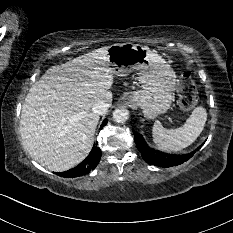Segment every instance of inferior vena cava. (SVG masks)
I'll use <instances>...</instances> for the list:
<instances>
[{"mask_svg": "<svg viewBox=\"0 0 233 233\" xmlns=\"http://www.w3.org/2000/svg\"><path fill=\"white\" fill-rule=\"evenodd\" d=\"M109 108V104L104 102V101H100L98 103H96L93 107H92V111L95 114L98 115H103L108 111Z\"/></svg>", "mask_w": 233, "mask_h": 233, "instance_id": "602c4592", "label": "inferior vena cava"}]
</instances>
